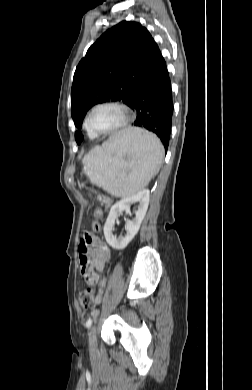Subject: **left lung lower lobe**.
Here are the masks:
<instances>
[{
    "instance_id": "1",
    "label": "left lung lower lobe",
    "mask_w": 252,
    "mask_h": 390,
    "mask_svg": "<svg viewBox=\"0 0 252 390\" xmlns=\"http://www.w3.org/2000/svg\"><path fill=\"white\" fill-rule=\"evenodd\" d=\"M128 106L137 114L133 124L155 133L167 150L172 125L173 100L170 77L162 55L143 77Z\"/></svg>"
}]
</instances>
